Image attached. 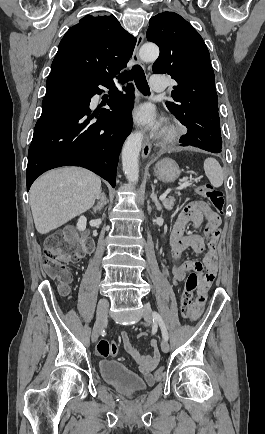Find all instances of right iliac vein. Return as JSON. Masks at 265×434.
I'll return each instance as SVG.
<instances>
[{"label": "right iliac vein", "instance_id": "obj_1", "mask_svg": "<svg viewBox=\"0 0 265 434\" xmlns=\"http://www.w3.org/2000/svg\"><path fill=\"white\" fill-rule=\"evenodd\" d=\"M108 301L103 298L99 300L97 306V318L92 330V341L96 343L98 341L99 335L101 331L104 329L107 324V313H108Z\"/></svg>", "mask_w": 265, "mask_h": 434}]
</instances>
